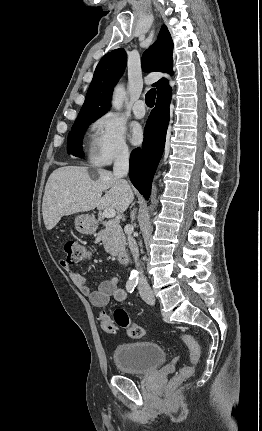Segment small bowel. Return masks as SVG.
I'll return each instance as SVG.
<instances>
[{
  "mask_svg": "<svg viewBox=\"0 0 262 431\" xmlns=\"http://www.w3.org/2000/svg\"><path fill=\"white\" fill-rule=\"evenodd\" d=\"M61 265L68 273L74 286L83 295L88 297L93 306L104 308L110 303L111 299H113L116 303H121L126 300V291L123 288L118 287V277H112L108 280L102 281L98 284L96 289L92 290L87 285L83 276L76 272L72 267L64 263Z\"/></svg>",
  "mask_w": 262,
  "mask_h": 431,
  "instance_id": "small-bowel-1",
  "label": "small bowel"
}]
</instances>
